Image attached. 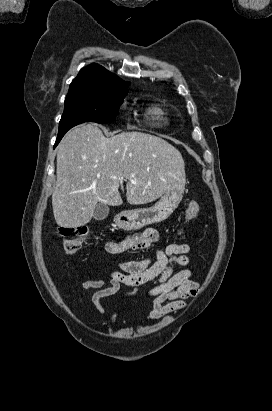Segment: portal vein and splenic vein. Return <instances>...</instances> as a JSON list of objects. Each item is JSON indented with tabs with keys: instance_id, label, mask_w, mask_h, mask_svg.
Returning <instances> with one entry per match:
<instances>
[{
	"instance_id": "18ae733b",
	"label": "portal vein and splenic vein",
	"mask_w": 272,
	"mask_h": 411,
	"mask_svg": "<svg viewBox=\"0 0 272 411\" xmlns=\"http://www.w3.org/2000/svg\"><path fill=\"white\" fill-rule=\"evenodd\" d=\"M116 179H118V180H121V181H122V180L124 179V177H122V176H121V177H116ZM131 182H132V183H135L133 180H131Z\"/></svg>"
}]
</instances>
